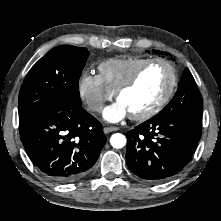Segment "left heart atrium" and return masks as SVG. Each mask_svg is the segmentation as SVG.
Wrapping results in <instances>:
<instances>
[{
	"label": "left heart atrium",
	"mask_w": 221,
	"mask_h": 221,
	"mask_svg": "<svg viewBox=\"0 0 221 221\" xmlns=\"http://www.w3.org/2000/svg\"><path fill=\"white\" fill-rule=\"evenodd\" d=\"M129 114L126 107L119 101L104 110V118L109 122H118Z\"/></svg>",
	"instance_id": "1"
}]
</instances>
